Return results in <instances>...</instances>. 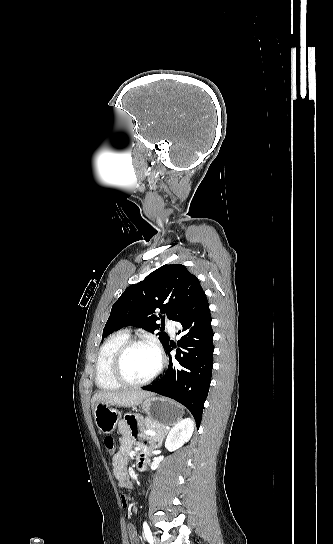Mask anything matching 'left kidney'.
<instances>
[{"label":"left kidney","instance_id":"obj_1","mask_svg":"<svg viewBox=\"0 0 333 544\" xmlns=\"http://www.w3.org/2000/svg\"><path fill=\"white\" fill-rule=\"evenodd\" d=\"M193 430L194 423L190 418L181 420L169 432L165 441L166 449L172 452L182 447L191 438Z\"/></svg>","mask_w":333,"mask_h":544}]
</instances>
